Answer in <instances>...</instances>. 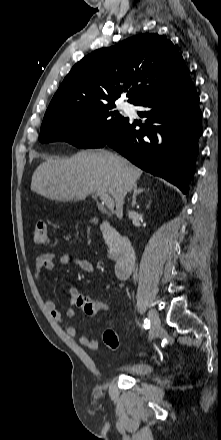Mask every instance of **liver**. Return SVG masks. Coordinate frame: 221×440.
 Wrapping results in <instances>:
<instances>
[{"mask_svg": "<svg viewBox=\"0 0 221 440\" xmlns=\"http://www.w3.org/2000/svg\"><path fill=\"white\" fill-rule=\"evenodd\" d=\"M142 170L106 150L80 151L69 159H47L34 171L31 190L56 201L84 200L105 192L115 199L116 215L123 216L124 198Z\"/></svg>", "mask_w": 221, "mask_h": 440, "instance_id": "6515ba94", "label": "liver"}]
</instances>
